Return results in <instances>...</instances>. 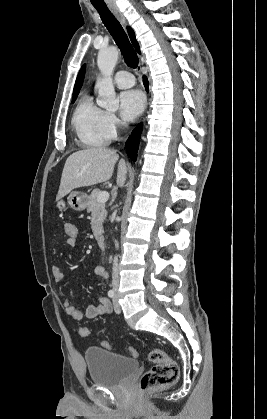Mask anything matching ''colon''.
<instances>
[{"label":"colon","mask_w":267,"mask_h":419,"mask_svg":"<svg viewBox=\"0 0 267 419\" xmlns=\"http://www.w3.org/2000/svg\"><path fill=\"white\" fill-rule=\"evenodd\" d=\"M66 244L74 247L78 244V229L73 223L67 222L63 227ZM80 335L87 337L90 331L83 326L79 330ZM101 345L105 349H110L111 344L108 341H102ZM129 353L137 356V350L129 348ZM148 359L154 366L146 371L140 378L139 387L142 391L156 390L175 384L179 378V366L171 359L161 348L154 347L150 350Z\"/></svg>","instance_id":"1"}]
</instances>
